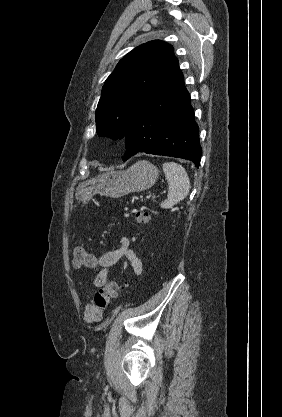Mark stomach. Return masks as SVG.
Returning <instances> with one entry per match:
<instances>
[{
	"label": "stomach",
	"mask_w": 282,
	"mask_h": 417,
	"mask_svg": "<svg viewBox=\"0 0 282 417\" xmlns=\"http://www.w3.org/2000/svg\"><path fill=\"white\" fill-rule=\"evenodd\" d=\"M159 176L155 164L149 160H138L127 170H107L92 180L81 182L76 188V196L81 202L90 200L94 194H104L119 198L129 192H141L155 184Z\"/></svg>",
	"instance_id": "0dacf381"
}]
</instances>
